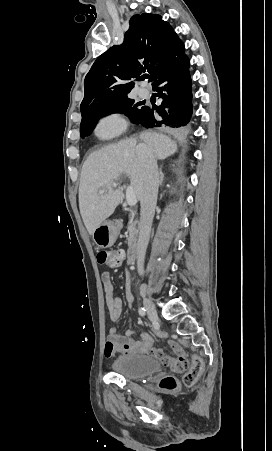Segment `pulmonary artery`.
Returning a JSON list of instances; mask_svg holds the SVG:
<instances>
[{
	"label": "pulmonary artery",
	"instance_id": "1",
	"mask_svg": "<svg viewBox=\"0 0 272 451\" xmlns=\"http://www.w3.org/2000/svg\"><path fill=\"white\" fill-rule=\"evenodd\" d=\"M138 96L142 99H146L150 96V92L148 90L145 89H140L138 91Z\"/></svg>",
	"mask_w": 272,
	"mask_h": 451
}]
</instances>
